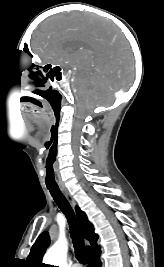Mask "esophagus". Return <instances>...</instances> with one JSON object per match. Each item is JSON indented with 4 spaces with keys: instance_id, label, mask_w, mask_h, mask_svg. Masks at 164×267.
<instances>
[{
    "instance_id": "34e87169",
    "label": "esophagus",
    "mask_w": 164,
    "mask_h": 267,
    "mask_svg": "<svg viewBox=\"0 0 164 267\" xmlns=\"http://www.w3.org/2000/svg\"><path fill=\"white\" fill-rule=\"evenodd\" d=\"M63 194L66 196V198L70 201V203L74 206L75 205V201L73 199V197L70 195V193L68 192V190L66 188H61Z\"/></svg>"
}]
</instances>
